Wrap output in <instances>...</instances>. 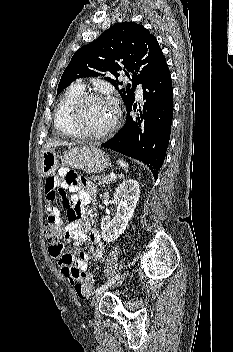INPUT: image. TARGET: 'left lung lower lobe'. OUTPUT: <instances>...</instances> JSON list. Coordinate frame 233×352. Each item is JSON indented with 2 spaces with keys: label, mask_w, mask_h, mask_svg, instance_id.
<instances>
[{
  "label": "left lung lower lobe",
  "mask_w": 233,
  "mask_h": 352,
  "mask_svg": "<svg viewBox=\"0 0 233 352\" xmlns=\"http://www.w3.org/2000/svg\"><path fill=\"white\" fill-rule=\"evenodd\" d=\"M142 87L143 111L134 101L129 104L125 125L101 146L142 161L156 180L165 159L173 118V88L167 63ZM133 109L137 110L136 118L130 115Z\"/></svg>",
  "instance_id": "left-lung-lower-lobe-1"
}]
</instances>
